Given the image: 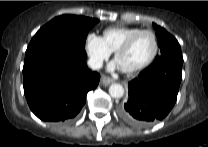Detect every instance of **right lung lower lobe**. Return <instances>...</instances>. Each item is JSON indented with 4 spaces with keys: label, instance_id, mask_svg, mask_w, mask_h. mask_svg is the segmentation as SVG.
I'll return each instance as SVG.
<instances>
[{
    "label": "right lung lower lobe",
    "instance_id": "right-lung-lower-lobe-1",
    "mask_svg": "<svg viewBox=\"0 0 208 147\" xmlns=\"http://www.w3.org/2000/svg\"><path fill=\"white\" fill-rule=\"evenodd\" d=\"M84 45L66 36L29 44L23 66L24 94L41 120L67 123L80 112L100 75L86 66Z\"/></svg>",
    "mask_w": 208,
    "mask_h": 147
}]
</instances>
